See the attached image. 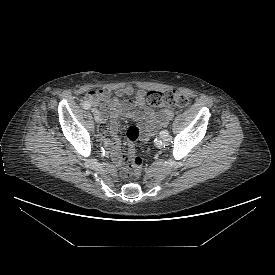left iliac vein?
<instances>
[{
	"label": "left iliac vein",
	"instance_id": "obj_1",
	"mask_svg": "<svg viewBox=\"0 0 275 275\" xmlns=\"http://www.w3.org/2000/svg\"><path fill=\"white\" fill-rule=\"evenodd\" d=\"M170 141H171V137L169 135L162 137V143L164 145H168L170 143Z\"/></svg>",
	"mask_w": 275,
	"mask_h": 275
}]
</instances>
